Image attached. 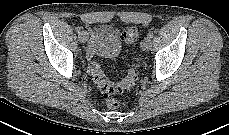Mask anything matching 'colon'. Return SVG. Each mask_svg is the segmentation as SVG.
Returning <instances> with one entry per match:
<instances>
[{"label":"colon","mask_w":229,"mask_h":135,"mask_svg":"<svg viewBox=\"0 0 229 135\" xmlns=\"http://www.w3.org/2000/svg\"><path fill=\"white\" fill-rule=\"evenodd\" d=\"M137 36L138 31L135 27L126 28L121 35L123 42L127 46H132L135 43ZM88 72L100 91L108 96L123 93L128 87L134 84L138 77L137 64L135 62L132 64L126 77L120 82L110 81L105 76L100 64L95 61L89 63ZM106 105L110 109H115L119 106V102L114 98H109Z\"/></svg>","instance_id":"colon-1"}]
</instances>
